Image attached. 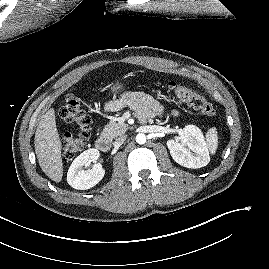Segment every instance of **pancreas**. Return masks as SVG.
I'll use <instances>...</instances> for the list:
<instances>
[{"label": "pancreas", "mask_w": 269, "mask_h": 269, "mask_svg": "<svg viewBox=\"0 0 269 269\" xmlns=\"http://www.w3.org/2000/svg\"><path fill=\"white\" fill-rule=\"evenodd\" d=\"M127 129L128 125L125 123L111 122L103 129L101 136L112 140L113 138L124 134Z\"/></svg>", "instance_id": "obj_1"}]
</instances>
